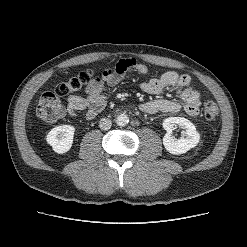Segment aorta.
Segmentation results:
<instances>
[{
    "label": "aorta",
    "mask_w": 247,
    "mask_h": 247,
    "mask_svg": "<svg viewBox=\"0 0 247 247\" xmlns=\"http://www.w3.org/2000/svg\"><path fill=\"white\" fill-rule=\"evenodd\" d=\"M116 124L118 126H125L128 124L129 122V118L126 114H119L117 117H116V120H115Z\"/></svg>",
    "instance_id": "762f6f07"
}]
</instances>
